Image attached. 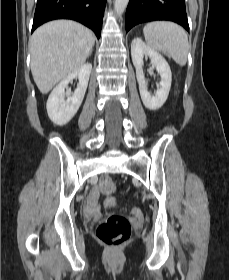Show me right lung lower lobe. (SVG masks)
<instances>
[{
	"label": "right lung lower lobe",
	"instance_id": "obj_1",
	"mask_svg": "<svg viewBox=\"0 0 229 280\" xmlns=\"http://www.w3.org/2000/svg\"><path fill=\"white\" fill-rule=\"evenodd\" d=\"M106 0H38L32 32L54 19H72L92 29L100 38Z\"/></svg>",
	"mask_w": 229,
	"mask_h": 280
}]
</instances>
